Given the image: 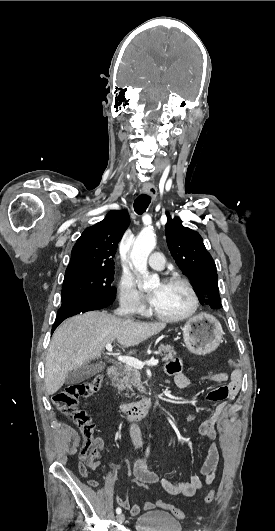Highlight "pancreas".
I'll return each instance as SVG.
<instances>
[{"label": "pancreas", "instance_id": "1", "mask_svg": "<svg viewBox=\"0 0 275 531\" xmlns=\"http://www.w3.org/2000/svg\"><path fill=\"white\" fill-rule=\"evenodd\" d=\"M158 353H163L164 357L162 361H173L176 355V351H174V347H171V345H160L158 347ZM112 383L114 387H117L118 391H132V397L136 395L133 389L144 391L138 369H134L130 365H120L118 367V373L112 379Z\"/></svg>", "mask_w": 275, "mask_h": 531}]
</instances>
